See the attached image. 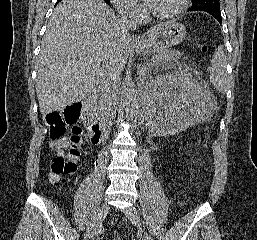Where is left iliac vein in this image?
Returning a JSON list of instances; mask_svg holds the SVG:
<instances>
[{"label":"left iliac vein","instance_id":"1","mask_svg":"<svg viewBox=\"0 0 257 240\" xmlns=\"http://www.w3.org/2000/svg\"><path fill=\"white\" fill-rule=\"evenodd\" d=\"M124 214L127 216V218L135 225L141 226V220L138 214V211L135 207L129 206L123 210ZM144 240H153L151 235L148 233L144 232L143 234Z\"/></svg>","mask_w":257,"mask_h":240}]
</instances>
